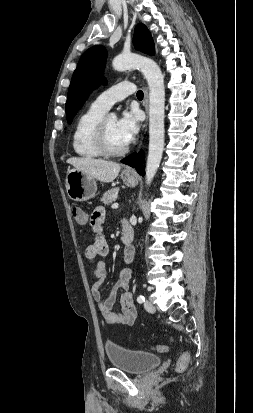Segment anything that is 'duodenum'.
Wrapping results in <instances>:
<instances>
[{"label": "duodenum", "instance_id": "obj_1", "mask_svg": "<svg viewBox=\"0 0 253 413\" xmlns=\"http://www.w3.org/2000/svg\"><path fill=\"white\" fill-rule=\"evenodd\" d=\"M133 240V230L128 223L123 224L122 241L125 246L129 247Z\"/></svg>", "mask_w": 253, "mask_h": 413}]
</instances>
